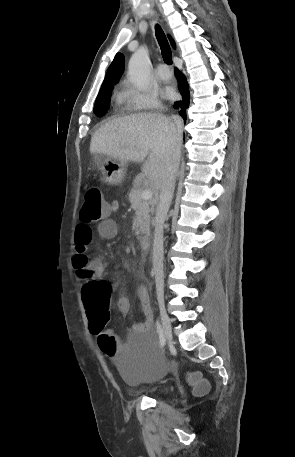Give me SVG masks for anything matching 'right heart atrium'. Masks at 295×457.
<instances>
[{
	"instance_id": "obj_1",
	"label": "right heart atrium",
	"mask_w": 295,
	"mask_h": 457,
	"mask_svg": "<svg viewBox=\"0 0 295 457\" xmlns=\"http://www.w3.org/2000/svg\"><path fill=\"white\" fill-rule=\"evenodd\" d=\"M123 101L127 108L133 111L155 110L161 104L153 90L139 91L130 85L125 86Z\"/></svg>"
}]
</instances>
